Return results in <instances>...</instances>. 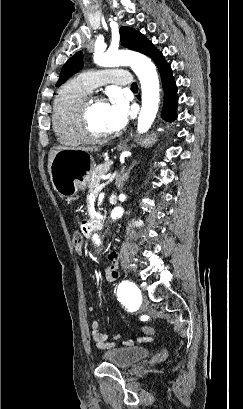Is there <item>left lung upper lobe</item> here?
Masks as SVG:
<instances>
[{
  "instance_id": "1",
  "label": "left lung upper lobe",
  "mask_w": 243,
  "mask_h": 409,
  "mask_svg": "<svg viewBox=\"0 0 243 409\" xmlns=\"http://www.w3.org/2000/svg\"><path fill=\"white\" fill-rule=\"evenodd\" d=\"M120 40L124 47L149 55L156 65L165 63L161 52L154 48V45L145 38L143 34L129 27L120 28ZM83 68V54L81 51L74 54L63 66L56 86H60L69 77Z\"/></svg>"
}]
</instances>
